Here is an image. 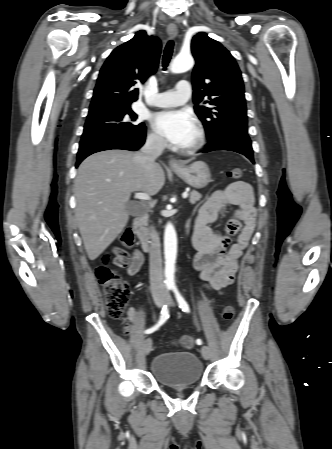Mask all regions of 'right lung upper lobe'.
I'll return each mask as SVG.
<instances>
[{"instance_id": "cb5924a9", "label": "right lung upper lobe", "mask_w": 332, "mask_h": 449, "mask_svg": "<svg viewBox=\"0 0 332 449\" xmlns=\"http://www.w3.org/2000/svg\"><path fill=\"white\" fill-rule=\"evenodd\" d=\"M161 42L144 30L118 46L103 64L89 112L130 107L138 99L136 86L156 72Z\"/></svg>"}]
</instances>
